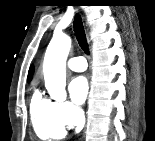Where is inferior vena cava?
Listing matches in <instances>:
<instances>
[{
  "label": "inferior vena cava",
  "mask_w": 155,
  "mask_h": 141,
  "mask_svg": "<svg viewBox=\"0 0 155 141\" xmlns=\"http://www.w3.org/2000/svg\"><path fill=\"white\" fill-rule=\"evenodd\" d=\"M84 123H85V117H84V113H81L80 114V117H79V121H78V124H77V131H80L83 126H84Z\"/></svg>",
  "instance_id": "1"
}]
</instances>
